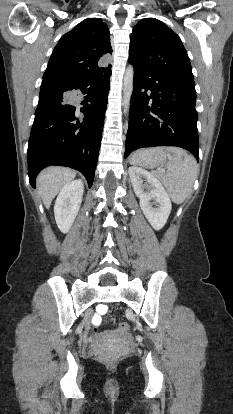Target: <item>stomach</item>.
Listing matches in <instances>:
<instances>
[{
	"instance_id": "obj_1",
	"label": "stomach",
	"mask_w": 233,
	"mask_h": 414,
	"mask_svg": "<svg viewBox=\"0 0 233 414\" xmlns=\"http://www.w3.org/2000/svg\"><path fill=\"white\" fill-rule=\"evenodd\" d=\"M136 157L147 168L159 167L166 164L168 159H171L169 151L163 148L140 150Z\"/></svg>"
}]
</instances>
